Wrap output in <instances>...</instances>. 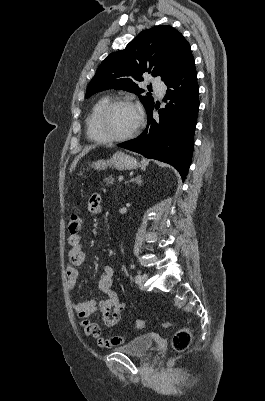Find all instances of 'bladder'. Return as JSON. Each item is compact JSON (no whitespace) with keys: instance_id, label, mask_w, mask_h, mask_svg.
I'll return each mask as SVG.
<instances>
[{"instance_id":"obj_1","label":"bladder","mask_w":265,"mask_h":401,"mask_svg":"<svg viewBox=\"0 0 265 401\" xmlns=\"http://www.w3.org/2000/svg\"><path fill=\"white\" fill-rule=\"evenodd\" d=\"M151 346H154V339L148 336L134 337L130 342L121 347H114L113 350L122 351L126 354L143 357Z\"/></svg>"}]
</instances>
